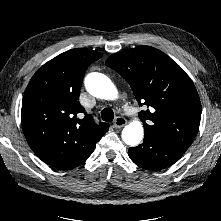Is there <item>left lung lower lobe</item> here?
Masks as SVG:
<instances>
[{
  "label": "left lung lower lobe",
  "mask_w": 221,
  "mask_h": 221,
  "mask_svg": "<svg viewBox=\"0 0 221 221\" xmlns=\"http://www.w3.org/2000/svg\"><path fill=\"white\" fill-rule=\"evenodd\" d=\"M128 153L137 166L146 170L158 171L177 162L185 150L144 135L143 143L129 148Z\"/></svg>",
  "instance_id": "left-lung-lower-lobe-1"
}]
</instances>
